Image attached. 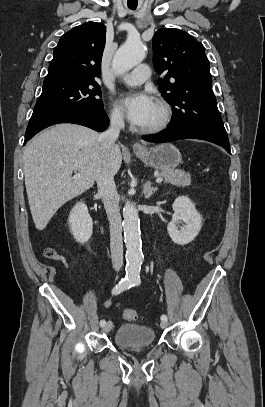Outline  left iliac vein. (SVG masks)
<instances>
[{
  "mask_svg": "<svg viewBox=\"0 0 265 407\" xmlns=\"http://www.w3.org/2000/svg\"><path fill=\"white\" fill-rule=\"evenodd\" d=\"M168 326V323L166 322V321H162L161 323H160V327L161 328H166Z\"/></svg>",
  "mask_w": 265,
  "mask_h": 407,
  "instance_id": "4c4485c4",
  "label": "left iliac vein"
}]
</instances>
